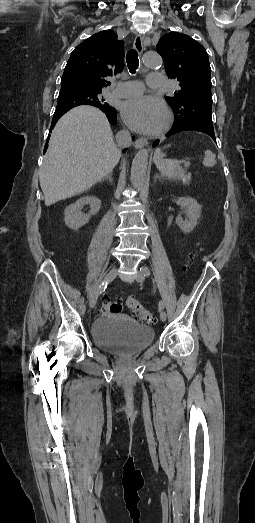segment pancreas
Instances as JSON below:
<instances>
[{
  "label": "pancreas",
  "mask_w": 255,
  "mask_h": 523,
  "mask_svg": "<svg viewBox=\"0 0 255 523\" xmlns=\"http://www.w3.org/2000/svg\"><path fill=\"white\" fill-rule=\"evenodd\" d=\"M191 176H187L186 180H190Z\"/></svg>",
  "instance_id": "obj_1"
}]
</instances>
